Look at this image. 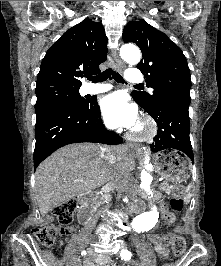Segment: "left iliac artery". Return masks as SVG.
Wrapping results in <instances>:
<instances>
[{
  "label": "left iliac artery",
  "instance_id": "left-iliac-artery-1",
  "mask_svg": "<svg viewBox=\"0 0 221 266\" xmlns=\"http://www.w3.org/2000/svg\"><path fill=\"white\" fill-rule=\"evenodd\" d=\"M121 258L124 260H129L132 256L131 252L128 251L127 249H123L120 253Z\"/></svg>",
  "mask_w": 221,
  "mask_h": 266
}]
</instances>
